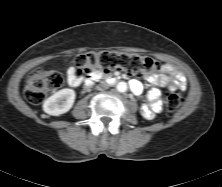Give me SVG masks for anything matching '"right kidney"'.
Instances as JSON below:
<instances>
[{
    "mask_svg": "<svg viewBox=\"0 0 222 187\" xmlns=\"http://www.w3.org/2000/svg\"><path fill=\"white\" fill-rule=\"evenodd\" d=\"M75 98L73 89H61L44 101L43 110L49 115L60 116L72 108Z\"/></svg>",
    "mask_w": 222,
    "mask_h": 187,
    "instance_id": "1",
    "label": "right kidney"
}]
</instances>
